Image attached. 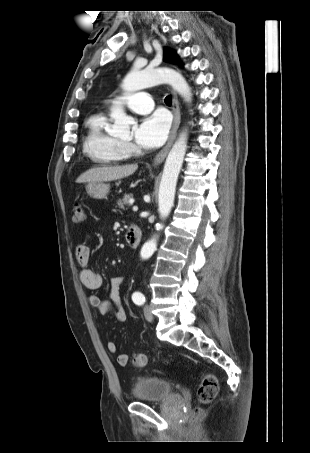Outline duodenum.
<instances>
[{
    "label": "duodenum",
    "mask_w": 310,
    "mask_h": 453,
    "mask_svg": "<svg viewBox=\"0 0 310 453\" xmlns=\"http://www.w3.org/2000/svg\"><path fill=\"white\" fill-rule=\"evenodd\" d=\"M141 238L142 231L140 228L133 226L127 231L126 239L131 248H136L140 244Z\"/></svg>",
    "instance_id": "1"
}]
</instances>
